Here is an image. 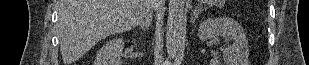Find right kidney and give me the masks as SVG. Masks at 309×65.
I'll list each match as a JSON object with an SVG mask.
<instances>
[{
    "label": "right kidney",
    "instance_id": "obj_1",
    "mask_svg": "<svg viewBox=\"0 0 309 65\" xmlns=\"http://www.w3.org/2000/svg\"><path fill=\"white\" fill-rule=\"evenodd\" d=\"M123 49L124 42L122 39L114 38L110 40L97 53L95 65H118Z\"/></svg>",
    "mask_w": 309,
    "mask_h": 65
}]
</instances>
